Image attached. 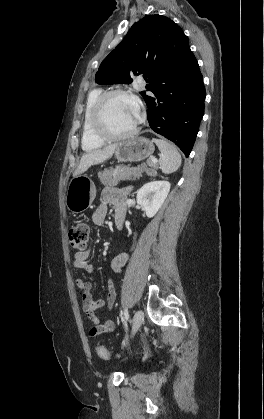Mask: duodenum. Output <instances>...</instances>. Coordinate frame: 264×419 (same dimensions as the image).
Here are the masks:
<instances>
[{
  "mask_svg": "<svg viewBox=\"0 0 264 419\" xmlns=\"http://www.w3.org/2000/svg\"><path fill=\"white\" fill-rule=\"evenodd\" d=\"M123 223H124V219L122 217L118 216L115 219V224H116L117 228L121 229L123 227Z\"/></svg>",
  "mask_w": 264,
  "mask_h": 419,
  "instance_id": "1",
  "label": "duodenum"
}]
</instances>
